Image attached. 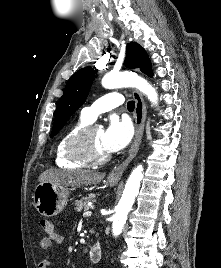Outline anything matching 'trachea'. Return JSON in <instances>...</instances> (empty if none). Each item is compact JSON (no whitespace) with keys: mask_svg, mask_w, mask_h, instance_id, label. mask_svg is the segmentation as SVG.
Returning a JSON list of instances; mask_svg holds the SVG:
<instances>
[{"mask_svg":"<svg viewBox=\"0 0 221 268\" xmlns=\"http://www.w3.org/2000/svg\"><path fill=\"white\" fill-rule=\"evenodd\" d=\"M134 107H135V102L134 101H129L127 103V108H128L129 111H133Z\"/></svg>","mask_w":221,"mask_h":268,"instance_id":"obj_1","label":"trachea"}]
</instances>
